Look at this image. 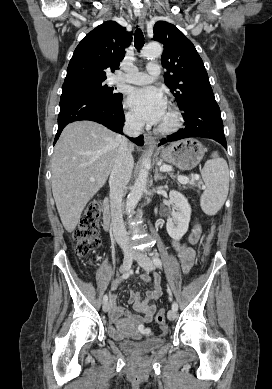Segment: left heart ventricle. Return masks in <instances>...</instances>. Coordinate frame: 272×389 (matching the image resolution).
I'll return each mask as SVG.
<instances>
[{
    "instance_id": "b2bd125f",
    "label": "left heart ventricle",
    "mask_w": 272,
    "mask_h": 389,
    "mask_svg": "<svg viewBox=\"0 0 272 389\" xmlns=\"http://www.w3.org/2000/svg\"><path fill=\"white\" fill-rule=\"evenodd\" d=\"M169 120H170V114H169V111L166 110V113H165L163 119L161 120L160 125L166 124Z\"/></svg>"
}]
</instances>
